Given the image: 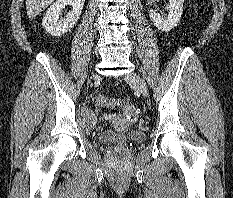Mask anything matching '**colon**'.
<instances>
[{"label":"colon","mask_w":233,"mask_h":198,"mask_svg":"<svg viewBox=\"0 0 233 198\" xmlns=\"http://www.w3.org/2000/svg\"><path fill=\"white\" fill-rule=\"evenodd\" d=\"M97 104L108 109L120 108L127 116H134L137 113L136 106L128 100L115 99L105 95L97 97Z\"/></svg>","instance_id":"colon-1"}]
</instances>
